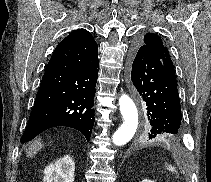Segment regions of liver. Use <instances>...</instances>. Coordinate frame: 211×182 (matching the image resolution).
<instances>
[{
  "mask_svg": "<svg viewBox=\"0 0 211 182\" xmlns=\"http://www.w3.org/2000/svg\"><path fill=\"white\" fill-rule=\"evenodd\" d=\"M43 147V143L41 142V139H37L34 143H32L28 148V156L32 157L34 154H36L41 148Z\"/></svg>",
  "mask_w": 211,
  "mask_h": 182,
  "instance_id": "1",
  "label": "liver"
}]
</instances>
